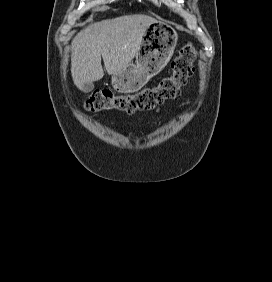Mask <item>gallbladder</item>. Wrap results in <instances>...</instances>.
I'll return each instance as SVG.
<instances>
[{
  "label": "gallbladder",
  "instance_id": "gallbladder-1",
  "mask_svg": "<svg viewBox=\"0 0 272 282\" xmlns=\"http://www.w3.org/2000/svg\"><path fill=\"white\" fill-rule=\"evenodd\" d=\"M93 88H94L93 84H91V83H86V84L83 86V92L88 93V92L92 91Z\"/></svg>",
  "mask_w": 272,
  "mask_h": 282
}]
</instances>
